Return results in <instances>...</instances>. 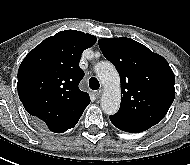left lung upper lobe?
Wrapping results in <instances>:
<instances>
[{"mask_svg": "<svg viewBox=\"0 0 190 165\" xmlns=\"http://www.w3.org/2000/svg\"><path fill=\"white\" fill-rule=\"evenodd\" d=\"M98 43L120 75L121 106L113 116L133 125L159 123L175 98V76L168 62L130 38H102Z\"/></svg>", "mask_w": 190, "mask_h": 165, "instance_id": "left-lung-upper-lobe-1", "label": "left lung upper lobe"}]
</instances>
